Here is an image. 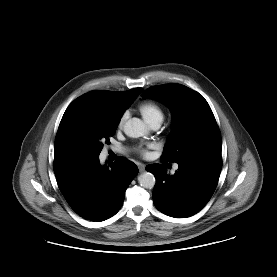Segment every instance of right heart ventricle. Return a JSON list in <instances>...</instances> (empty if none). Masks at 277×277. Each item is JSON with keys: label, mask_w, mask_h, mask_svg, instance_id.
Segmentation results:
<instances>
[{"label": "right heart ventricle", "mask_w": 277, "mask_h": 277, "mask_svg": "<svg viewBox=\"0 0 277 277\" xmlns=\"http://www.w3.org/2000/svg\"><path fill=\"white\" fill-rule=\"evenodd\" d=\"M138 110L149 125L153 123H161L164 119V112L156 102H143L138 106Z\"/></svg>", "instance_id": "right-heart-ventricle-1"}]
</instances>
